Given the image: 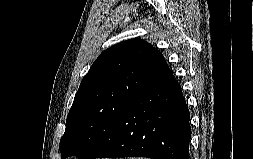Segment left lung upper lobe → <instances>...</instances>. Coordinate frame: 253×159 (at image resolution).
I'll return each mask as SVG.
<instances>
[{
    "label": "left lung upper lobe",
    "mask_w": 253,
    "mask_h": 159,
    "mask_svg": "<svg viewBox=\"0 0 253 159\" xmlns=\"http://www.w3.org/2000/svg\"><path fill=\"white\" fill-rule=\"evenodd\" d=\"M163 55L142 39L103 51L81 81L60 140L62 159H94L125 106L166 68Z\"/></svg>",
    "instance_id": "obj_1"
}]
</instances>
